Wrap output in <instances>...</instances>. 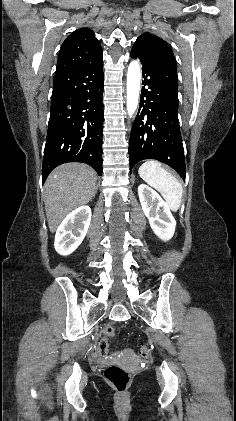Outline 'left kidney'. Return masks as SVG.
I'll return each mask as SVG.
<instances>
[{
    "mask_svg": "<svg viewBox=\"0 0 236 421\" xmlns=\"http://www.w3.org/2000/svg\"><path fill=\"white\" fill-rule=\"evenodd\" d=\"M138 194L142 211L149 219L150 227L162 241H169L175 233L176 221L170 213V208L160 194L147 186L139 184Z\"/></svg>",
    "mask_w": 236,
    "mask_h": 421,
    "instance_id": "obj_1",
    "label": "left kidney"
}]
</instances>
